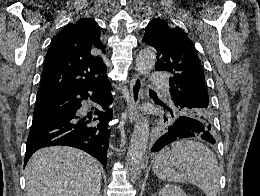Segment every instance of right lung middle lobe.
<instances>
[{"label":"right lung middle lobe","mask_w":260,"mask_h":196,"mask_svg":"<svg viewBox=\"0 0 260 196\" xmlns=\"http://www.w3.org/2000/svg\"><path fill=\"white\" fill-rule=\"evenodd\" d=\"M59 115L48 113V112H41L39 110L34 109V117H33V123L32 126L53 120L58 118Z\"/></svg>","instance_id":"right-lung-middle-lobe-1"}]
</instances>
